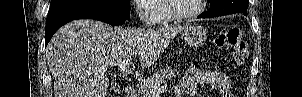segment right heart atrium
Instances as JSON below:
<instances>
[{
  "label": "right heart atrium",
  "instance_id": "right-heart-atrium-1",
  "mask_svg": "<svg viewBox=\"0 0 302 97\" xmlns=\"http://www.w3.org/2000/svg\"><path fill=\"white\" fill-rule=\"evenodd\" d=\"M136 2V14L138 19L146 25L155 24L157 21V15L155 9L152 7L153 0H137Z\"/></svg>",
  "mask_w": 302,
  "mask_h": 97
}]
</instances>
